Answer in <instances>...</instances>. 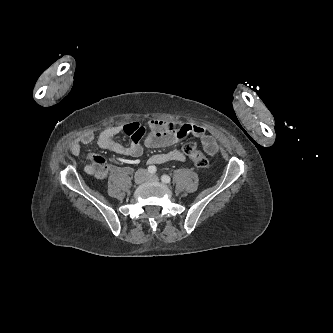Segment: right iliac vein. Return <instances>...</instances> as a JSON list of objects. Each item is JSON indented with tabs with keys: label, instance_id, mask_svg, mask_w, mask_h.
<instances>
[{
	"label": "right iliac vein",
	"instance_id": "obj_1",
	"mask_svg": "<svg viewBox=\"0 0 333 333\" xmlns=\"http://www.w3.org/2000/svg\"><path fill=\"white\" fill-rule=\"evenodd\" d=\"M146 179V172L143 170L138 171L135 174V182L141 184Z\"/></svg>",
	"mask_w": 333,
	"mask_h": 333
}]
</instances>
